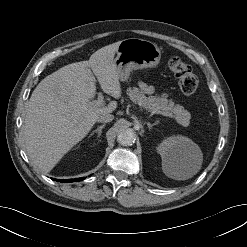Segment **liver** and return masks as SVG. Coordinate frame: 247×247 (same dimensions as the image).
Wrapping results in <instances>:
<instances>
[{
    "label": "liver",
    "mask_w": 247,
    "mask_h": 247,
    "mask_svg": "<svg viewBox=\"0 0 247 247\" xmlns=\"http://www.w3.org/2000/svg\"><path fill=\"white\" fill-rule=\"evenodd\" d=\"M119 43L100 48L88 61L60 68L32 92L24 121V139L29 157L44 172L51 171L89 133L100 114L112 113L117 108L116 101L96 106L92 99L96 93L93 73L105 93L121 97L114 64Z\"/></svg>",
    "instance_id": "liver-1"
}]
</instances>
